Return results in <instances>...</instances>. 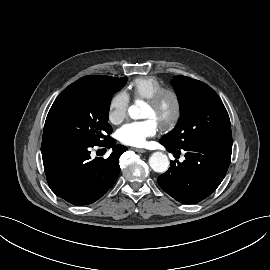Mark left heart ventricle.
I'll use <instances>...</instances> for the list:
<instances>
[{
    "instance_id": "b2bd125f",
    "label": "left heart ventricle",
    "mask_w": 270,
    "mask_h": 270,
    "mask_svg": "<svg viewBox=\"0 0 270 270\" xmlns=\"http://www.w3.org/2000/svg\"><path fill=\"white\" fill-rule=\"evenodd\" d=\"M173 113V100L167 96L163 99L158 107H153L146 103L144 117L154 118L159 124L161 121L168 119Z\"/></svg>"
}]
</instances>
